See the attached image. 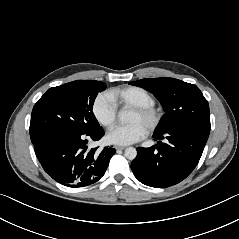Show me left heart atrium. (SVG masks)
I'll use <instances>...</instances> for the list:
<instances>
[{
  "label": "left heart atrium",
  "mask_w": 239,
  "mask_h": 239,
  "mask_svg": "<svg viewBox=\"0 0 239 239\" xmlns=\"http://www.w3.org/2000/svg\"><path fill=\"white\" fill-rule=\"evenodd\" d=\"M147 128L140 123L116 125L107 133V139L115 145H129L144 138Z\"/></svg>",
  "instance_id": "obj_1"
}]
</instances>
